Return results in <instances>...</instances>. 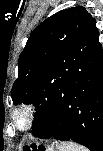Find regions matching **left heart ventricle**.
<instances>
[{"label":"left heart ventricle","mask_w":103,"mask_h":151,"mask_svg":"<svg viewBox=\"0 0 103 151\" xmlns=\"http://www.w3.org/2000/svg\"><path fill=\"white\" fill-rule=\"evenodd\" d=\"M19 123L22 125L24 123V120L23 119H20L19 120Z\"/></svg>","instance_id":"obj_1"}]
</instances>
